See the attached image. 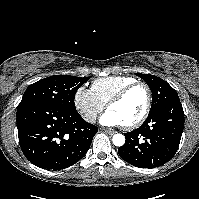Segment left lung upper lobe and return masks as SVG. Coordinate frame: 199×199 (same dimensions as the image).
<instances>
[{
	"label": "left lung upper lobe",
	"instance_id": "obj_1",
	"mask_svg": "<svg viewBox=\"0 0 199 199\" xmlns=\"http://www.w3.org/2000/svg\"><path fill=\"white\" fill-rule=\"evenodd\" d=\"M137 75L148 84L152 91L153 100L150 112L169 102L179 100L177 92L163 79L150 74L137 73Z\"/></svg>",
	"mask_w": 199,
	"mask_h": 199
}]
</instances>
